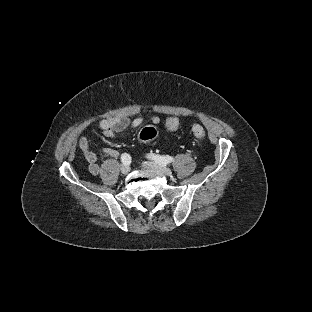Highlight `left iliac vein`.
Here are the masks:
<instances>
[{
  "mask_svg": "<svg viewBox=\"0 0 312 312\" xmlns=\"http://www.w3.org/2000/svg\"><path fill=\"white\" fill-rule=\"evenodd\" d=\"M143 167L150 169L158 174H163L166 176H170L172 174V170L170 168H167L164 165H160L151 161L143 162Z\"/></svg>",
  "mask_w": 312,
  "mask_h": 312,
  "instance_id": "4c4485c4",
  "label": "left iliac vein"
}]
</instances>
